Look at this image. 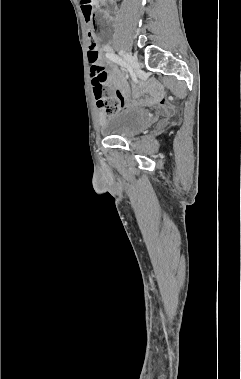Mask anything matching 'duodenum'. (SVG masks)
<instances>
[{"label":"duodenum","instance_id":"410a0bca","mask_svg":"<svg viewBox=\"0 0 241 379\" xmlns=\"http://www.w3.org/2000/svg\"><path fill=\"white\" fill-rule=\"evenodd\" d=\"M96 2L100 3V4H107L110 0H95Z\"/></svg>","mask_w":241,"mask_h":379}]
</instances>
